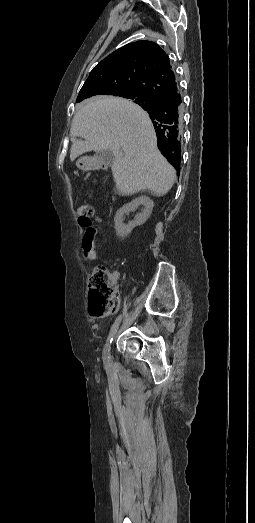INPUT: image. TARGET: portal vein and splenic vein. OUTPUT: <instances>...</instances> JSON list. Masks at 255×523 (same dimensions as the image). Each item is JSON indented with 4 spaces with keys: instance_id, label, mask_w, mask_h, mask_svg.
<instances>
[{
    "instance_id": "obj_1",
    "label": "portal vein and splenic vein",
    "mask_w": 255,
    "mask_h": 523,
    "mask_svg": "<svg viewBox=\"0 0 255 523\" xmlns=\"http://www.w3.org/2000/svg\"><path fill=\"white\" fill-rule=\"evenodd\" d=\"M121 156H123V152H121Z\"/></svg>"
}]
</instances>
